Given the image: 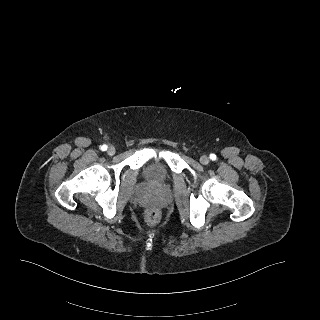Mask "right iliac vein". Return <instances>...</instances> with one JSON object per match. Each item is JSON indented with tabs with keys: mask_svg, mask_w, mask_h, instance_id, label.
Listing matches in <instances>:
<instances>
[{
	"mask_svg": "<svg viewBox=\"0 0 320 320\" xmlns=\"http://www.w3.org/2000/svg\"><path fill=\"white\" fill-rule=\"evenodd\" d=\"M107 154L112 156L115 154V148L114 147H109L108 150H107Z\"/></svg>",
	"mask_w": 320,
	"mask_h": 320,
	"instance_id": "right-iliac-vein-1",
	"label": "right iliac vein"
}]
</instances>
